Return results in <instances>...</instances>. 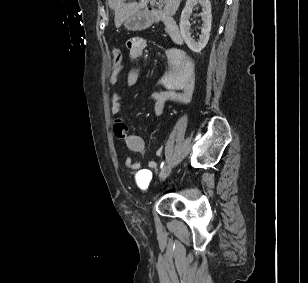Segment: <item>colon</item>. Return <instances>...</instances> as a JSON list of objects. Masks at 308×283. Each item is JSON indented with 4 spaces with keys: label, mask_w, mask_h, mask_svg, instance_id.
Segmentation results:
<instances>
[{
    "label": "colon",
    "mask_w": 308,
    "mask_h": 283,
    "mask_svg": "<svg viewBox=\"0 0 308 283\" xmlns=\"http://www.w3.org/2000/svg\"><path fill=\"white\" fill-rule=\"evenodd\" d=\"M114 66H118L122 60V53L119 48H115L112 52Z\"/></svg>",
    "instance_id": "5ec220e1"
}]
</instances>
